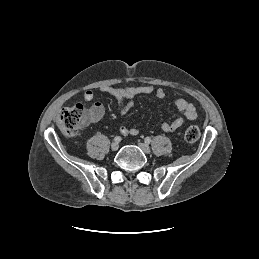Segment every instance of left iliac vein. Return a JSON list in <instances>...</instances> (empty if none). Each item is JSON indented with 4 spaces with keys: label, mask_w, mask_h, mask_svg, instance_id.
I'll list each match as a JSON object with an SVG mask.
<instances>
[{
    "label": "left iliac vein",
    "mask_w": 259,
    "mask_h": 259,
    "mask_svg": "<svg viewBox=\"0 0 259 259\" xmlns=\"http://www.w3.org/2000/svg\"><path fill=\"white\" fill-rule=\"evenodd\" d=\"M138 146H139V147L141 148V150H142L144 153H146V154H149V153L151 152V149H150L149 145L146 144V143L139 142V143H138Z\"/></svg>",
    "instance_id": "obj_1"
}]
</instances>
